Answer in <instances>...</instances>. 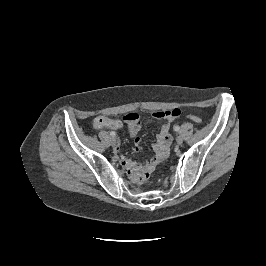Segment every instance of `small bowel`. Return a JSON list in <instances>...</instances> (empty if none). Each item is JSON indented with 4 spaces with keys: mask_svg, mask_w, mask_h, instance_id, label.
<instances>
[{
    "mask_svg": "<svg viewBox=\"0 0 266 266\" xmlns=\"http://www.w3.org/2000/svg\"><path fill=\"white\" fill-rule=\"evenodd\" d=\"M179 115L180 111L178 109L158 111L153 114V117L156 120L163 121L164 123L162 124L160 133L157 136V141L153 145L155 156L148 163L140 165L127 158H122L123 168L135 179H145L154 170V168L167 157L172 142L170 122L176 119ZM123 119L128 133L135 137L134 144L136 150L138 151L141 146V139L137 137V134L141 129L140 117L137 113H128ZM93 126L95 129H118L121 127V122L105 116H98L94 119Z\"/></svg>",
    "mask_w": 266,
    "mask_h": 266,
    "instance_id": "1",
    "label": "small bowel"
}]
</instances>
